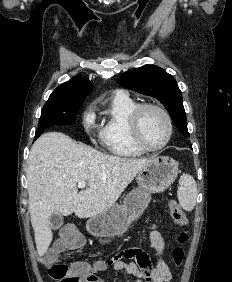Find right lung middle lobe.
Returning a JSON list of instances; mask_svg holds the SVG:
<instances>
[{"label":"right lung middle lobe","mask_w":232,"mask_h":282,"mask_svg":"<svg viewBox=\"0 0 232 282\" xmlns=\"http://www.w3.org/2000/svg\"><path fill=\"white\" fill-rule=\"evenodd\" d=\"M84 99L85 97L48 100L42 109L35 139L43 133L44 129L52 125L72 124Z\"/></svg>","instance_id":"1"}]
</instances>
